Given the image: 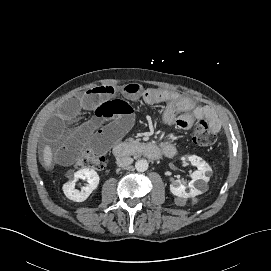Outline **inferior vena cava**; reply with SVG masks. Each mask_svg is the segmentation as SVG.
Returning a JSON list of instances; mask_svg holds the SVG:
<instances>
[{"mask_svg": "<svg viewBox=\"0 0 271 271\" xmlns=\"http://www.w3.org/2000/svg\"><path fill=\"white\" fill-rule=\"evenodd\" d=\"M132 163H133V158L128 157V156L119 158V159L117 160V165H118L119 167H127L128 165H130V164H132Z\"/></svg>", "mask_w": 271, "mask_h": 271, "instance_id": "1", "label": "inferior vena cava"}]
</instances>
